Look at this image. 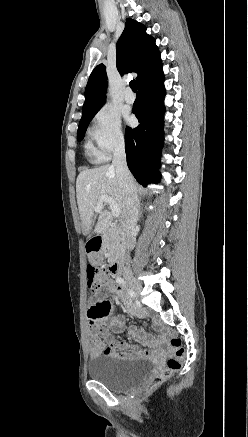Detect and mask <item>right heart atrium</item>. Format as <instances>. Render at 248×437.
Here are the masks:
<instances>
[{
  "mask_svg": "<svg viewBox=\"0 0 248 437\" xmlns=\"http://www.w3.org/2000/svg\"><path fill=\"white\" fill-rule=\"evenodd\" d=\"M89 136L95 143V152L101 159H107L125 143L119 115L110 108L100 109L93 117Z\"/></svg>",
  "mask_w": 248,
  "mask_h": 437,
  "instance_id": "1",
  "label": "right heart atrium"
}]
</instances>
